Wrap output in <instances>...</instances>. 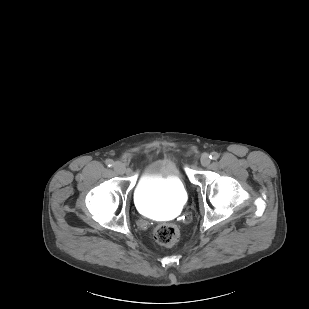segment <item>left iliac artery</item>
<instances>
[{"label": "left iliac artery", "mask_w": 309, "mask_h": 309, "mask_svg": "<svg viewBox=\"0 0 309 309\" xmlns=\"http://www.w3.org/2000/svg\"><path fill=\"white\" fill-rule=\"evenodd\" d=\"M219 158V154L217 152H212L210 154V159L217 160Z\"/></svg>", "instance_id": "obj_1"}]
</instances>
